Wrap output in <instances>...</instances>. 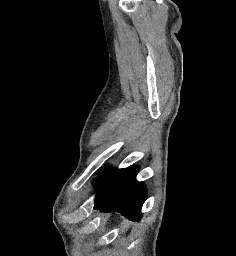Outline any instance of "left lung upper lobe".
Listing matches in <instances>:
<instances>
[{"instance_id": "1", "label": "left lung upper lobe", "mask_w": 236, "mask_h": 256, "mask_svg": "<svg viewBox=\"0 0 236 256\" xmlns=\"http://www.w3.org/2000/svg\"><path fill=\"white\" fill-rule=\"evenodd\" d=\"M112 172L111 169H107V168H104L100 173H99V177L96 178L94 181H93V186L94 188H98L104 181L105 179L110 175V173Z\"/></svg>"}]
</instances>
